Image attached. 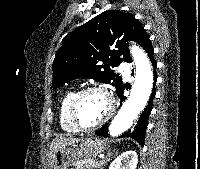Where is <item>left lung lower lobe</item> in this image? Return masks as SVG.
<instances>
[{
    "instance_id": "obj_1",
    "label": "left lung lower lobe",
    "mask_w": 200,
    "mask_h": 169,
    "mask_svg": "<svg viewBox=\"0 0 200 169\" xmlns=\"http://www.w3.org/2000/svg\"><path fill=\"white\" fill-rule=\"evenodd\" d=\"M145 51L149 55L150 61L154 68V83H155L157 80L156 71H155L157 64L153 58L154 50H153L151 43L148 44ZM124 89H125V87H124V85H122L121 88L117 91V94L120 97L121 101H123L125 99V97L123 96ZM155 94H156L155 87H153L152 96H151L145 110L141 114V116L137 122V125L134 127L133 130H129L128 132L124 133L122 135V137H131V138L135 139L137 142H139L140 145H142V146L144 145L145 133H146L147 125H148V117L152 110V101H153ZM96 135L107 136L108 135V124H105L98 131H96Z\"/></svg>"
}]
</instances>
